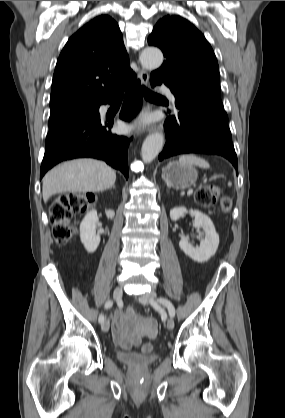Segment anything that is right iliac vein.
Returning a JSON list of instances; mask_svg holds the SVG:
<instances>
[{
	"label": "right iliac vein",
	"instance_id": "obj_1",
	"mask_svg": "<svg viewBox=\"0 0 285 418\" xmlns=\"http://www.w3.org/2000/svg\"><path fill=\"white\" fill-rule=\"evenodd\" d=\"M123 295V289L122 287L118 286L114 289L113 292V297L116 301H119L122 298ZM102 331L104 332H108L109 328H110V322L109 320H105L102 324Z\"/></svg>",
	"mask_w": 285,
	"mask_h": 418
}]
</instances>
